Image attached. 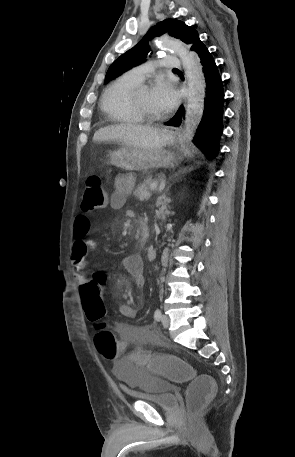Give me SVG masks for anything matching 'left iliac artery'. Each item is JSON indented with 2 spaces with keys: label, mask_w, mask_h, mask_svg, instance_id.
<instances>
[{
  "label": "left iliac artery",
  "mask_w": 295,
  "mask_h": 457,
  "mask_svg": "<svg viewBox=\"0 0 295 457\" xmlns=\"http://www.w3.org/2000/svg\"><path fill=\"white\" fill-rule=\"evenodd\" d=\"M161 311L159 309H156L154 312V318L155 320L159 321L161 319Z\"/></svg>",
  "instance_id": "left-iliac-artery-1"
}]
</instances>
